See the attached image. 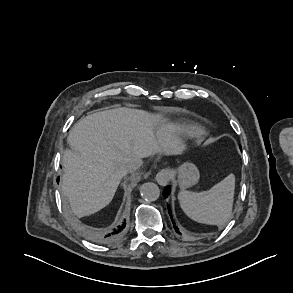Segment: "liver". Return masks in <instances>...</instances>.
Segmentation results:
<instances>
[{
  "instance_id": "liver-1",
  "label": "liver",
  "mask_w": 293,
  "mask_h": 293,
  "mask_svg": "<svg viewBox=\"0 0 293 293\" xmlns=\"http://www.w3.org/2000/svg\"><path fill=\"white\" fill-rule=\"evenodd\" d=\"M161 121L159 115L118 108L88 115L74 125L67 138L72 150L62 156V190L76 216L107 206L134 160L178 151L175 142L156 137Z\"/></svg>"
}]
</instances>
